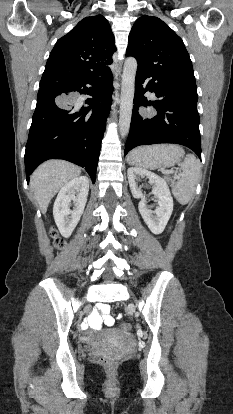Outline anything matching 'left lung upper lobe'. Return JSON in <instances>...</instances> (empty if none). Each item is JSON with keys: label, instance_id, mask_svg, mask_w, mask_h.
Here are the masks:
<instances>
[{"label": "left lung upper lobe", "instance_id": "1", "mask_svg": "<svg viewBox=\"0 0 233 414\" xmlns=\"http://www.w3.org/2000/svg\"><path fill=\"white\" fill-rule=\"evenodd\" d=\"M126 55L136 58L138 70L161 81L196 84L182 39L157 17L143 15L136 20Z\"/></svg>", "mask_w": 233, "mask_h": 414}]
</instances>
